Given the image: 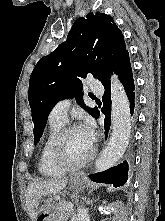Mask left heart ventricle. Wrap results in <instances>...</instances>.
I'll use <instances>...</instances> for the list:
<instances>
[{
  "mask_svg": "<svg viewBox=\"0 0 165 221\" xmlns=\"http://www.w3.org/2000/svg\"><path fill=\"white\" fill-rule=\"evenodd\" d=\"M92 143L83 134L81 129L70 132L63 143V154L70 162L84 159L90 152Z\"/></svg>",
  "mask_w": 165,
  "mask_h": 221,
  "instance_id": "b2bd125f",
  "label": "left heart ventricle"
}]
</instances>
